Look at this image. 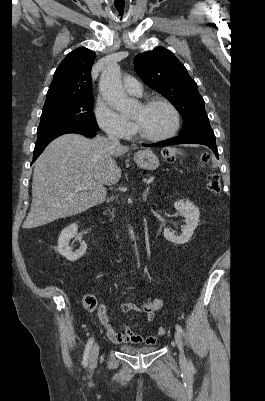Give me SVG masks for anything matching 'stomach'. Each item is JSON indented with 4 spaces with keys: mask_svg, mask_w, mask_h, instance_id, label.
<instances>
[{
    "mask_svg": "<svg viewBox=\"0 0 265 401\" xmlns=\"http://www.w3.org/2000/svg\"><path fill=\"white\" fill-rule=\"evenodd\" d=\"M134 160L140 168H145V170H155L159 166L158 156L150 148L135 152Z\"/></svg>",
    "mask_w": 265,
    "mask_h": 401,
    "instance_id": "0dacf381",
    "label": "stomach"
}]
</instances>
